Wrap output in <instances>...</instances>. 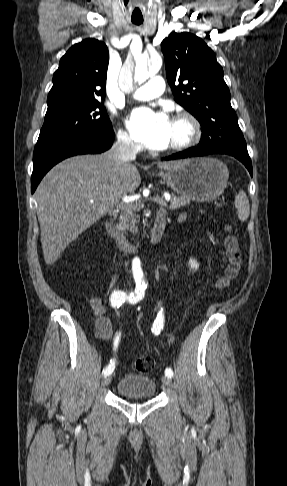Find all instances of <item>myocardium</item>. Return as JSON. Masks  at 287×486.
I'll return each mask as SVG.
<instances>
[{"label": "myocardium", "mask_w": 287, "mask_h": 486, "mask_svg": "<svg viewBox=\"0 0 287 486\" xmlns=\"http://www.w3.org/2000/svg\"><path fill=\"white\" fill-rule=\"evenodd\" d=\"M173 121L184 123L188 128V135L183 141L171 144L168 147L167 151H184L193 147L200 141L202 136V128L200 122L193 114L187 111L178 112L174 116Z\"/></svg>", "instance_id": "obj_1"}]
</instances>
